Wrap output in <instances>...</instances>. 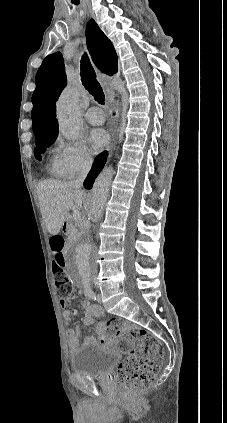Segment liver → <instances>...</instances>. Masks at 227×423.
<instances>
[{
	"mask_svg": "<svg viewBox=\"0 0 227 423\" xmlns=\"http://www.w3.org/2000/svg\"><path fill=\"white\" fill-rule=\"evenodd\" d=\"M37 196L44 225L51 235L59 233L70 210H81L82 204L88 202V194L84 190L72 188L71 182L56 180L39 182Z\"/></svg>",
	"mask_w": 227,
	"mask_h": 423,
	"instance_id": "6515ba94",
	"label": "liver"
}]
</instances>
